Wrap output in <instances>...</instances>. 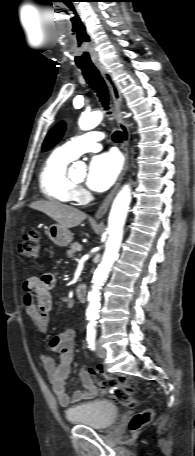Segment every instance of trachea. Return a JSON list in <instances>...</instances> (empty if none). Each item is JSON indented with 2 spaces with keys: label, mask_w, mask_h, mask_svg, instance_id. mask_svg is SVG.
Instances as JSON below:
<instances>
[{
  "label": "trachea",
  "mask_w": 195,
  "mask_h": 456,
  "mask_svg": "<svg viewBox=\"0 0 195 456\" xmlns=\"http://www.w3.org/2000/svg\"><path fill=\"white\" fill-rule=\"evenodd\" d=\"M82 70L86 82L90 87L97 93L103 107L105 110L109 109V95L107 86L101 77L98 69L95 66L79 67ZM110 113V112H108ZM113 141L120 143L123 140V134L121 131H115L113 136Z\"/></svg>",
  "instance_id": "1"
}]
</instances>
